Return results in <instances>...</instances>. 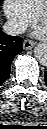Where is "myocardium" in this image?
<instances>
[{"label": "myocardium", "instance_id": "1", "mask_svg": "<svg viewBox=\"0 0 47 129\" xmlns=\"http://www.w3.org/2000/svg\"><path fill=\"white\" fill-rule=\"evenodd\" d=\"M46 8H47V0L44 1L42 7L36 12L34 19L37 22H40L41 18H45L46 16Z\"/></svg>", "mask_w": 47, "mask_h": 129}]
</instances>
